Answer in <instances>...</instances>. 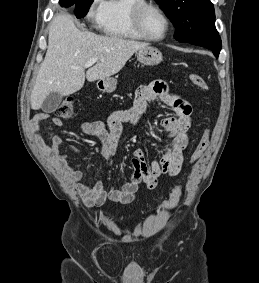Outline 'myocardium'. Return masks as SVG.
Returning <instances> with one entry per match:
<instances>
[{
    "label": "myocardium",
    "mask_w": 259,
    "mask_h": 283,
    "mask_svg": "<svg viewBox=\"0 0 259 283\" xmlns=\"http://www.w3.org/2000/svg\"><path fill=\"white\" fill-rule=\"evenodd\" d=\"M154 10L156 12H158L163 19L166 22V32L165 34L160 37V38H155L152 37L148 34L146 27H145V15L148 11ZM132 19H133V24L135 29L137 30V32L146 40L152 41V42H161L163 40H165L171 30V20L169 18V16L167 15V13L165 12V10L154 3H150V2H145V3H140L137 4L133 7L132 9Z\"/></svg>",
    "instance_id": "myocardium-1"
}]
</instances>
